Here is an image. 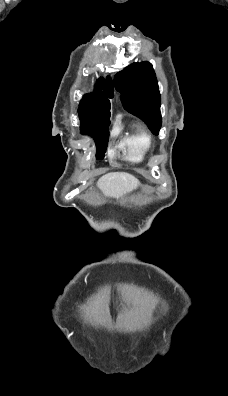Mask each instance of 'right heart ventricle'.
I'll use <instances>...</instances> for the list:
<instances>
[{
    "instance_id": "e07e8e85",
    "label": "right heart ventricle",
    "mask_w": 228,
    "mask_h": 396,
    "mask_svg": "<svg viewBox=\"0 0 228 396\" xmlns=\"http://www.w3.org/2000/svg\"><path fill=\"white\" fill-rule=\"evenodd\" d=\"M151 144L150 135L141 127H137L123 138L120 147L124 150L126 159L139 162L150 150Z\"/></svg>"
}]
</instances>
